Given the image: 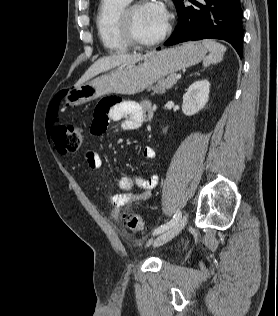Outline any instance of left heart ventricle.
Returning a JSON list of instances; mask_svg holds the SVG:
<instances>
[{
	"mask_svg": "<svg viewBox=\"0 0 278 316\" xmlns=\"http://www.w3.org/2000/svg\"><path fill=\"white\" fill-rule=\"evenodd\" d=\"M133 27L137 37L150 41L158 37L165 29L166 23L157 19L148 9L147 4L138 6L132 13Z\"/></svg>",
	"mask_w": 278,
	"mask_h": 316,
	"instance_id": "1",
	"label": "left heart ventricle"
}]
</instances>
